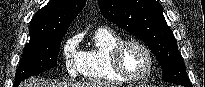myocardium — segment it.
Returning a JSON list of instances; mask_svg holds the SVG:
<instances>
[{"label": "myocardium", "mask_w": 205, "mask_h": 87, "mask_svg": "<svg viewBox=\"0 0 205 87\" xmlns=\"http://www.w3.org/2000/svg\"><path fill=\"white\" fill-rule=\"evenodd\" d=\"M128 45H136L146 53L149 64L144 74L139 76H131L123 69L121 65V54L124 48ZM110 65L114 73L122 80L130 83H138L146 80L151 75L154 69L155 61L150 48L145 43L137 39H125L117 43L112 49L110 53Z\"/></svg>", "instance_id": "obj_1"}]
</instances>
